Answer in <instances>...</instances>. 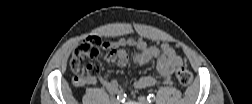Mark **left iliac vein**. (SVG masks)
<instances>
[{"label": "left iliac vein", "instance_id": "left-iliac-vein-1", "mask_svg": "<svg viewBox=\"0 0 252 104\" xmlns=\"http://www.w3.org/2000/svg\"><path fill=\"white\" fill-rule=\"evenodd\" d=\"M138 101L142 104H147L148 100L144 96H139Z\"/></svg>", "mask_w": 252, "mask_h": 104}]
</instances>
